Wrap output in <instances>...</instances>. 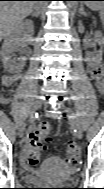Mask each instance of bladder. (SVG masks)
<instances>
[{
	"label": "bladder",
	"instance_id": "obj_1",
	"mask_svg": "<svg viewBox=\"0 0 104 189\" xmlns=\"http://www.w3.org/2000/svg\"><path fill=\"white\" fill-rule=\"evenodd\" d=\"M71 166L57 156L47 157L37 170L30 172L25 182L38 185L66 178L71 173Z\"/></svg>",
	"mask_w": 104,
	"mask_h": 189
}]
</instances>
